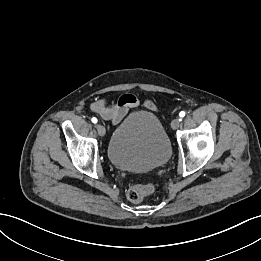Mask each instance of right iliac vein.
Listing matches in <instances>:
<instances>
[{
  "label": "right iliac vein",
  "mask_w": 261,
  "mask_h": 261,
  "mask_svg": "<svg viewBox=\"0 0 261 261\" xmlns=\"http://www.w3.org/2000/svg\"><path fill=\"white\" fill-rule=\"evenodd\" d=\"M96 128H97L99 136L103 137L105 135V133H106V130H105L104 126L96 125Z\"/></svg>",
  "instance_id": "63e3f726"
}]
</instances>
